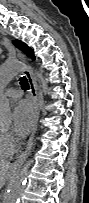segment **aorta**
I'll list each match as a JSON object with an SVG mask.
<instances>
[{
	"instance_id": "aorta-1",
	"label": "aorta",
	"mask_w": 89,
	"mask_h": 203,
	"mask_svg": "<svg viewBox=\"0 0 89 203\" xmlns=\"http://www.w3.org/2000/svg\"><path fill=\"white\" fill-rule=\"evenodd\" d=\"M26 68L30 69L24 63L18 60L6 61L0 68V83L7 85L15 76ZM36 76L40 82V86L44 92L48 91V84L43 75L42 70H36ZM12 122V110L9 100L6 97L0 98V127L2 129H8ZM33 159H29L21 167L19 172L13 176L8 187L6 195L3 198L2 203H19L29 173V169L33 164Z\"/></svg>"
}]
</instances>
